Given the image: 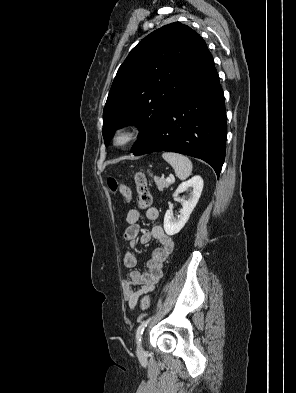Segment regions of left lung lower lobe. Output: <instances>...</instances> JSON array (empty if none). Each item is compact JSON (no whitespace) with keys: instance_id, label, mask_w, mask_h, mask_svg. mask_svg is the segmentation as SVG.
<instances>
[{"instance_id":"left-lung-lower-lobe-1","label":"left lung lower lobe","mask_w":296,"mask_h":393,"mask_svg":"<svg viewBox=\"0 0 296 393\" xmlns=\"http://www.w3.org/2000/svg\"><path fill=\"white\" fill-rule=\"evenodd\" d=\"M226 136L224 94L211 55L133 154L172 151L189 155L206 161L219 176Z\"/></svg>"}]
</instances>
